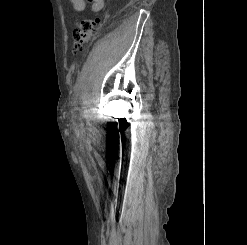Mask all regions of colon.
I'll list each match as a JSON object with an SVG mask.
<instances>
[{
  "label": "colon",
  "instance_id": "5ec220e1",
  "mask_svg": "<svg viewBox=\"0 0 247 245\" xmlns=\"http://www.w3.org/2000/svg\"><path fill=\"white\" fill-rule=\"evenodd\" d=\"M104 17H89L81 19L72 33V53H82L85 43L91 40L99 31Z\"/></svg>",
  "mask_w": 247,
  "mask_h": 245
}]
</instances>
